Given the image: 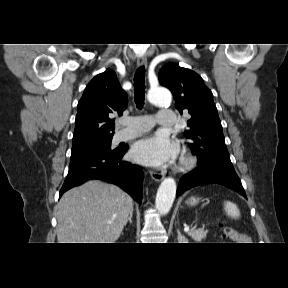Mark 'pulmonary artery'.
<instances>
[{
  "mask_svg": "<svg viewBox=\"0 0 288 288\" xmlns=\"http://www.w3.org/2000/svg\"><path fill=\"white\" fill-rule=\"evenodd\" d=\"M176 121L175 113L171 109H161L157 115V124L161 126H174ZM153 127L152 117L149 115L134 116L127 120V127L119 130L114 141L127 140L149 131Z\"/></svg>",
  "mask_w": 288,
  "mask_h": 288,
  "instance_id": "1",
  "label": "pulmonary artery"
}]
</instances>
